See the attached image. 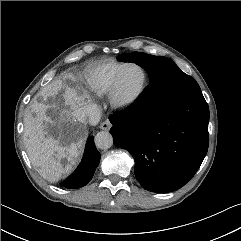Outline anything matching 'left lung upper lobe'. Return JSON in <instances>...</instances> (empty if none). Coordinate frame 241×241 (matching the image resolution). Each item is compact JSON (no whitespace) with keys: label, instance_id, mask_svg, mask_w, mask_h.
<instances>
[{"label":"left lung upper lobe","instance_id":"1","mask_svg":"<svg viewBox=\"0 0 241 241\" xmlns=\"http://www.w3.org/2000/svg\"><path fill=\"white\" fill-rule=\"evenodd\" d=\"M118 60L135 62L146 70L150 80L156 77L163 79L174 100L201 91L194 78L182 72L173 61L166 57L133 52L119 55Z\"/></svg>","mask_w":241,"mask_h":241}]
</instances>
